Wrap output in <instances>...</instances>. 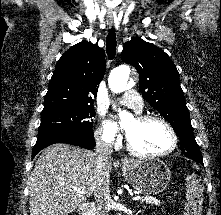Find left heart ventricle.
I'll list each match as a JSON object with an SVG mask.
<instances>
[{
    "instance_id": "b2bd125f",
    "label": "left heart ventricle",
    "mask_w": 221,
    "mask_h": 215,
    "mask_svg": "<svg viewBox=\"0 0 221 215\" xmlns=\"http://www.w3.org/2000/svg\"><path fill=\"white\" fill-rule=\"evenodd\" d=\"M125 130L133 146L144 153L163 152L171 145L168 130L158 121L141 123L134 119L126 125Z\"/></svg>"
}]
</instances>
